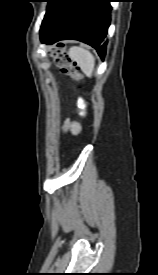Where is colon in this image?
I'll use <instances>...</instances> for the list:
<instances>
[{"instance_id":"1","label":"colon","mask_w":158,"mask_h":275,"mask_svg":"<svg viewBox=\"0 0 158 275\" xmlns=\"http://www.w3.org/2000/svg\"><path fill=\"white\" fill-rule=\"evenodd\" d=\"M54 58L57 66L61 69L62 73L71 77L78 76V70L69 53L64 47H58L54 52ZM87 102L84 100L79 101V107L85 109Z\"/></svg>"}]
</instances>
